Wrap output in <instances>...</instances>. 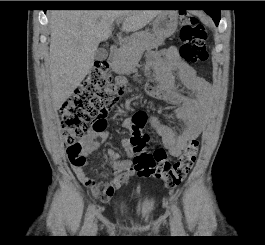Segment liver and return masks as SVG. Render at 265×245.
<instances>
[{
	"instance_id": "obj_1",
	"label": "liver",
	"mask_w": 265,
	"mask_h": 245,
	"mask_svg": "<svg viewBox=\"0 0 265 245\" xmlns=\"http://www.w3.org/2000/svg\"><path fill=\"white\" fill-rule=\"evenodd\" d=\"M161 10H56L50 16L49 72L53 106L62 104L90 72L95 52L112 34L115 20L135 32L162 14Z\"/></svg>"
}]
</instances>
